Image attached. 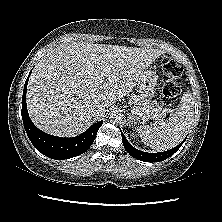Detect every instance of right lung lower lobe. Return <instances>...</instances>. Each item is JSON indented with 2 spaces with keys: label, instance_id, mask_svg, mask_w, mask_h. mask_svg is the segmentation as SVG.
<instances>
[{
  "label": "right lung lower lobe",
  "instance_id": "obj_1",
  "mask_svg": "<svg viewBox=\"0 0 222 222\" xmlns=\"http://www.w3.org/2000/svg\"><path fill=\"white\" fill-rule=\"evenodd\" d=\"M30 74L31 72L29 76ZM29 76L24 86L21 114L31 143L39 152L52 159H68L83 154L92 145L103 121L93 124L84 133L72 138L56 137L39 130L31 121L27 111L26 88Z\"/></svg>",
  "mask_w": 222,
  "mask_h": 222
}]
</instances>
